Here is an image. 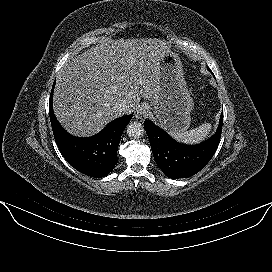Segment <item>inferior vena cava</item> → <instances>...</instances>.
<instances>
[{
    "label": "inferior vena cava",
    "instance_id": "602c4592",
    "mask_svg": "<svg viewBox=\"0 0 272 272\" xmlns=\"http://www.w3.org/2000/svg\"><path fill=\"white\" fill-rule=\"evenodd\" d=\"M114 108H115L117 114H119V115L126 113L128 110V106L124 103H120V104L116 105Z\"/></svg>",
    "mask_w": 272,
    "mask_h": 272
}]
</instances>
